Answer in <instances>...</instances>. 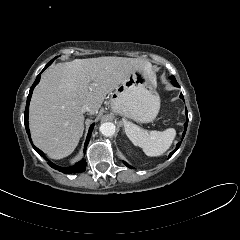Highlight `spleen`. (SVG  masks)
<instances>
[{"instance_id": "1", "label": "spleen", "mask_w": 240, "mask_h": 240, "mask_svg": "<svg viewBox=\"0 0 240 240\" xmlns=\"http://www.w3.org/2000/svg\"><path fill=\"white\" fill-rule=\"evenodd\" d=\"M125 133L135 146L142 148L147 156L155 157L165 153L171 146L176 131L168 128L163 132L144 130L132 122H125Z\"/></svg>"}]
</instances>
